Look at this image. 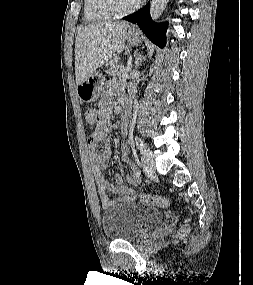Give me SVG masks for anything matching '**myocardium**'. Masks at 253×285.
<instances>
[{"instance_id": "obj_1", "label": "myocardium", "mask_w": 253, "mask_h": 285, "mask_svg": "<svg viewBox=\"0 0 253 285\" xmlns=\"http://www.w3.org/2000/svg\"><path fill=\"white\" fill-rule=\"evenodd\" d=\"M99 7L111 18H120L134 12L140 5V0L136 1L131 7L120 9L115 0H98Z\"/></svg>"}]
</instances>
